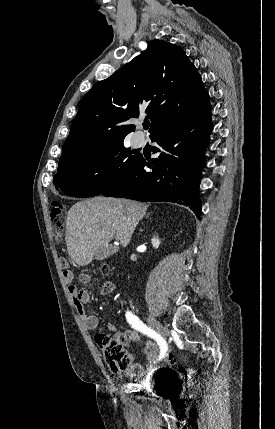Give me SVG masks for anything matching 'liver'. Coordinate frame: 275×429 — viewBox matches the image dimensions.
Masks as SVG:
<instances>
[{
	"instance_id": "liver-1",
	"label": "liver",
	"mask_w": 275,
	"mask_h": 429,
	"mask_svg": "<svg viewBox=\"0 0 275 429\" xmlns=\"http://www.w3.org/2000/svg\"><path fill=\"white\" fill-rule=\"evenodd\" d=\"M148 205L97 196L74 204L67 214L66 244L71 259L88 265L96 251L115 238L126 247Z\"/></svg>"
}]
</instances>
